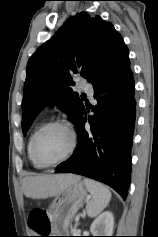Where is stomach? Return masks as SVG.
<instances>
[{
	"label": "stomach",
	"instance_id": "obj_1",
	"mask_svg": "<svg viewBox=\"0 0 158 237\" xmlns=\"http://www.w3.org/2000/svg\"><path fill=\"white\" fill-rule=\"evenodd\" d=\"M87 198V189L81 180L69 185L57 195L48 210L54 221L53 230L65 232L76 212L87 201Z\"/></svg>",
	"mask_w": 158,
	"mask_h": 237
}]
</instances>
